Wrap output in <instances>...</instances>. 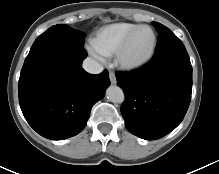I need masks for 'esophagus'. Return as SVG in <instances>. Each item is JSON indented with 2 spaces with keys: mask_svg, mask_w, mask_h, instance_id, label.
I'll list each match as a JSON object with an SVG mask.
<instances>
[{
  "mask_svg": "<svg viewBox=\"0 0 219 174\" xmlns=\"http://www.w3.org/2000/svg\"><path fill=\"white\" fill-rule=\"evenodd\" d=\"M109 78L112 84H116V77H115L114 72L109 71Z\"/></svg>",
  "mask_w": 219,
  "mask_h": 174,
  "instance_id": "obj_1",
  "label": "esophagus"
}]
</instances>
